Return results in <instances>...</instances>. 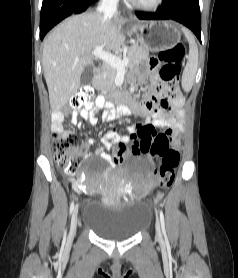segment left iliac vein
Here are the masks:
<instances>
[{"mask_svg": "<svg viewBox=\"0 0 238 278\" xmlns=\"http://www.w3.org/2000/svg\"><path fill=\"white\" fill-rule=\"evenodd\" d=\"M156 236L157 238H161L162 234H161V227H160V222L157 221L156 222Z\"/></svg>", "mask_w": 238, "mask_h": 278, "instance_id": "1", "label": "left iliac vein"}]
</instances>
